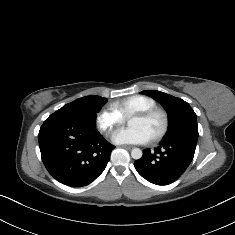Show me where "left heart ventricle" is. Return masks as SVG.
Segmentation results:
<instances>
[{
	"label": "left heart ventricle",
	"mask_w": 235,
	"mask_h": 235,
	"mask_svg": "<svg viewBox=\"0 0 235 235\" xmlns=\"http://www.w3.org/2000/svg\"><path fill=\"white\" fill-rule=\"evenodd\" d=\"M131 128H139L146 132L149 139L155 136L163 127V120L160 116L156 115L149 120H143L137 117H132L129 121Z\"/></svg>",
	"instance_id": "b2bd125f"
}]
</instances>
